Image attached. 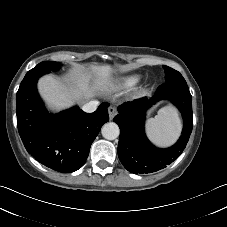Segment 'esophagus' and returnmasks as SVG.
I'll list each match as a JSON object with an SVG mask.
<instances>
[{"label": "esophagus", "mask_w": 227, "mask_h": 227, "mask_svg": "<svg viewBox=\"0 0 227 227\" xmlns=\"http://www.w3.org/2000/svg\"><path fill=\"white\" fill-rule=\"evenodd\" d=\"M108 113H109L110 120H113L114 116L117 114V110L114 107H109Z\"/></svg>", "instance_id": "1"}]
</instances>
